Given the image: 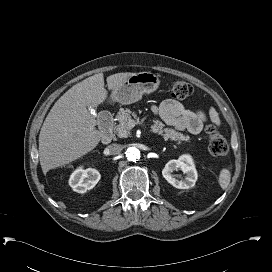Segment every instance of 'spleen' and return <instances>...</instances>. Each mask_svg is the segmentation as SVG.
Returning a JSON list of instances; mask_svg holds the SVG:
<instances>
[{
  "instance_id": "1",
  "label": "spleen",
  "mask_w": 272,
  "mask_h": 272,
  "mask_svg": "<svg viewBox=\"0 0 272 272\" xmlns=\"http://www.w3.org/2000/svg\"><path fill=\"white\" fill-rule=\"evenodd\" d=\"M231 173L229 169H222L219 175V184L222 189H226L230 183Z\"/></svg>"
}]
</instances>
